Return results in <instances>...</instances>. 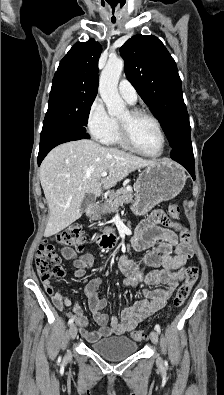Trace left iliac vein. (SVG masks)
<instances>
[{"label": "left iliac vein", "instance_id": "obj_1", "mask_svg": "<svg viewBox=\"0 0 224 395\" xmlns=\"http://www.w3.org/2000/svg\"><path fill=\"white\" fill-rule=\"evenodd\" d=\"M150 339H151L153 344H157L158 343V333L155 330L151 331ZM157 361L160 364H162V359L159 356L157 357Z\"/></svg>", "mask_w": 224, "mask_h": 395}]
</instances>
